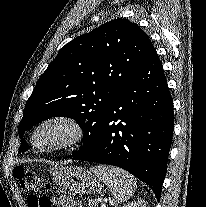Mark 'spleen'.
Here are the masks:
<instances>
[{
    "label": "spleen",
    "instance_id": "1",
    "mask_svg": "<svg viewBox=\"0 0 206 207\" xmlns=\"http://www.w3.org/2000/svg\"><path fill=\"white\" fill-rule=\"evenodd\" d=\"M90 170L107 185L114 203H122L131 198L136 190V179L117 167L98 165Z\"/></svg>",
    "mask_w": 206,
    "mask_h": 207
}]
</instances>
